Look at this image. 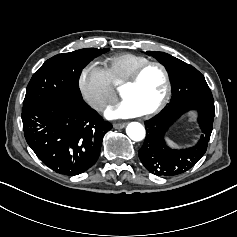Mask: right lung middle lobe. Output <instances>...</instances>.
<instances>
[{
    "label": "right lung middle lobe",
    "mask_w": 237,
    "mask_h": 237,
    "mask_svg": "<svg viewBox=\"0 0 237 237\" xmlns=\"http://www.w3.org/2000/svg\"><path fill=\"white\" fill-rule=\"evenodd\" d=\"M109 49L86 48L53 56L34 73L26 90L23 109L62 97L82 98L78 81L82 69Z\"/></svg>",
    "instance_id": "1"
}]
</instances>
